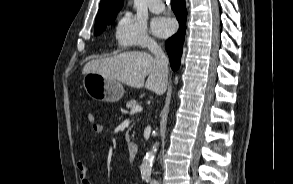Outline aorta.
<instances>
[{
	"instance_id": "aorta-1",
	"label": "aorta",
	"mask_w": 293,
	"mask_h": 184,
	"mask_svg": "<svg viewBox=\"0 0 293 184\" xmlns=\"http://www.w3.org/2000/svg\"><path fill=\"white\" fill-rule=\"evenodd\" d=\"M158 150V143H155L152 147V150L146 154L143 159V162L140 166L141 175L144 180L149 181L152 171L153 162L155 159V154Z\"/></svg>"
}]
</instances>
